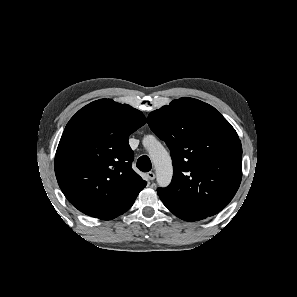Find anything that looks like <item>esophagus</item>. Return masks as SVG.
Masks as SVG:
<instances>
[{"label": "esophagus", "mask_w": 297, "mask_h": 297, "mask_svg": "<svg viewBox=\"0 0 297 297\" xmlns=\"http://www.w3.org/2000/svg\"><path fill=\"white\" fill-rule=\"evenodd\" d=\"M147 178L149 179V180H154L155 179V174H154V172H148L147 173Z\"/></svg>", "instance_id": "34e87169"}]
</instances>
